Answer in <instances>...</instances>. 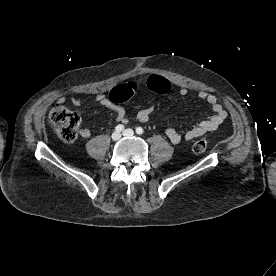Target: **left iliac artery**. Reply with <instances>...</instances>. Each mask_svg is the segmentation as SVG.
Masks as SVG:
<instances>
[{
    "mask_svg": "<svg viewBox=\"0 0 276 276\" xmlns=\"http://www.w3.org/2000/svg\"><path fill=\"white\" fill-rule=\"evenodd\" d=\"M143 132H144V131H143L142 127H137V128H136V133H137V134L142 135Z\"/></svg>",
    "mask_w": 276,
    "mask_h": 276,
    "instance_id": "1",
    "label": "left iliac artery"
}]
</instances>
